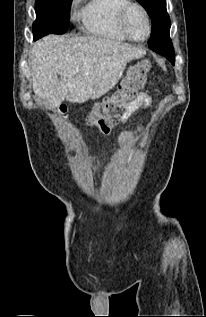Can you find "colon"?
Returning a JSON list of instances; mask_svg holds the SVG:
<instances>
[{"label": "colon", "mask_w": 206, "mask_h": 317, "mask_svg": "<svg viewBox=\"0 0 206 317\" xmlns=\"http://www.w3.org/2000/svg\"><path fill=\"white\" fill-rule=\"evenodd\" d=\"M150 67L148 60L131 66L117 90L94 107L87 118L88 123L102 134L109 133L124 116L128 103L145 86Z\"/></svg>", "instance_id": "1"}]
</instances>
